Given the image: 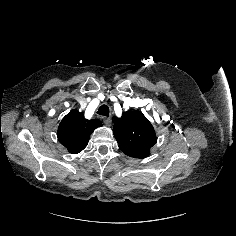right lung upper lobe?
I'll return each mask as SVG.
<instances>
[{"mask_svg": "<svg viewBox=\"0 0 236 236\" xmlns=\"http://www.w3.org/2000/svg\"><path fill=\"white\" fill-rule=\"evenodd\" d=\"M100 126L102 124L98 120H87L83 113L73 109L59 124L58 140L70 153L77 154L87 146L94 129Z\"/></svg>", "mask_w": 236, "mask_h": 236, "instance_id": "cb5924a9", "label": "right lung upper lobe"}]
</instances>
